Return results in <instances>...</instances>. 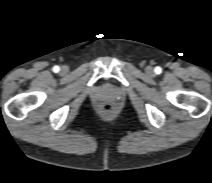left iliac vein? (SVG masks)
Wrapping results in <instances>:
<instances>
[{
    "label": "left iliac vein",
    "mask_w": 212,
    "mask_h": 183,
    "mask_svg": "<svg viewBox=\"0 0 212 183\" xmlns=\"http://www.w3.org/2000/svg\"><path fill=\"white\" fill-rule=\"evenodd\" d=\"M146 73L149 75V76H152L154 74V69L152 67H147L146 68Z\"/></svg>",
    "instance_id": "left-iliac-vein-1"
}]
</instances>
